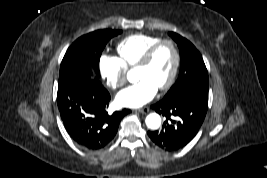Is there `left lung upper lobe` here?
<instances>
[{
    "label": "left lung upper lobe",
    "mask_w": 267,
    "mask_h": 178,
    "mask_svg": "<svg viewBox=\"0 0 267 178\" xmlns=\"http://www.w3.org/2000/svg\"><path fill=\"white\" fill-rule=\"evenodd\" d=\"M169 35L180 50V73L177 81L164 98L174 97L190 90L208 94V72L201 54L187 39L173 32Z\"/></svg>",
    "instance_id": "left-lung-upper-lobe-1"
}]
</instances>
